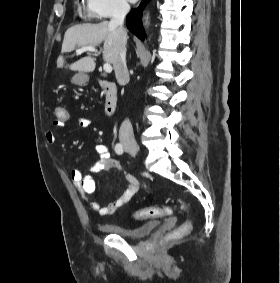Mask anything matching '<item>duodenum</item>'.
<instances>
[{"mask_svg": "<svg viewBox=\"0 0 280 283\" xmlns=\"http://www.w3.org/2000/svg\"><path fill=\"white\" fill-rule=\"evenodd\" d=\"M100 85L105 93V112L111 115L116 111L118 105L117 87L114 82L109 80H102Z\"/></svg>", "mask_w": 280, "mask_h": 283, "instance_id": "duodenum-1", "label": "duodenum"}]
</instances>
